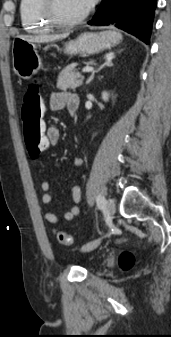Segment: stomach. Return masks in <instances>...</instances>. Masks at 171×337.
I'll return each mask as SVG.
<instances>
[{"label": "stomach", "instance_id": "1", "mask_svg": "<svg viewBox=\"0 0 171 337\" xmlns=\"http://www.w3.org/2000/svg\"><path fill=\"white\" fill-rule=\"evenodd\" d=\"M122 35L116 31H103L100 33H83L76 40L65 45L68 54H96L118 45ZM13 70L22 79H30L42 67L38 55L37 45L27 40L16 38L12 45Z\"/></svg>", "mask_w": 171, "mask_h": 337}]
</instances>
